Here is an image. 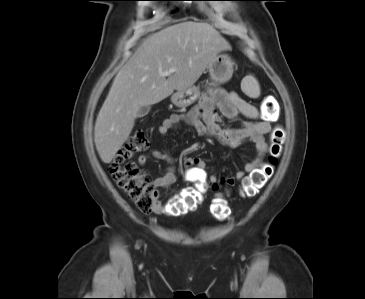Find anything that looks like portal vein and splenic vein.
<instances>
[{
    "mask_svg": "<svg viewBox=\"0 0 365 299\" xmlns=\"http://www.w3.org/2000/svg\"><path fill=\"white\" fill-rule=\"evenodd\" d=\"M175 71H176V68H171L168 71L161 72L160 75L163 77H168V76L172 75Z\"/></svg>",
    "mask_w": 365,
    "mask_h": 299,
    "instance_id": "obj_1",
    "label": "portal vein and splenic vein"
}]
</instances>
